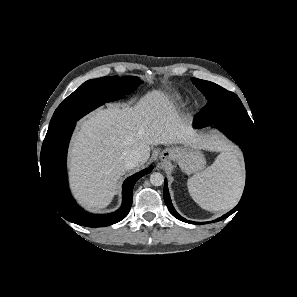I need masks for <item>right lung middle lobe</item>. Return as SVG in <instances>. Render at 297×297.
<instances>
[{"instance_id": "1", "label": "right lung middle lobe", "mask_w": 297, "mask_h": 297, "mask_svg": "<svg viewBox=\"0 0 297 297\" xmlns=\"http://www.w3.org/2000/svg\"><path fill=\"white\" fill-rule=\"evenodd\" d=\"M140 83L139 79L132 76L102 77L86 81L55 110L46 137L63 130L105 102L123 98Z\"/></svg>"}]
</instances>
